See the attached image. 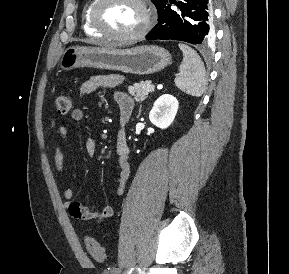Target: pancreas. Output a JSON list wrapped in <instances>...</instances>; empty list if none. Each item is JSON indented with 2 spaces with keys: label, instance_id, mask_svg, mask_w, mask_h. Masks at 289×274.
Segmentation results:
<instances>
[{
  "label": "pancreas",
  "instance_id": "obj_1",
  "mask_svg": "<svg viewBox=\"0 0 289 274\" xmlns=\"http://www.w3.org/2000/svg\"><path fill=\"white\" fill-rule=\"evenodd\" d=\"M151 81H141L135 83L133 86L128 87L129 93L134 96L136 101H143L148 97V94L151 92L149 88L151 87Z\"/></svg>",
  "mask_w": 289,
  "mask_h": 274
}]
</instances>
